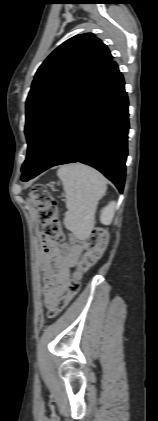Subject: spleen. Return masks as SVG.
<instances>
[{
	"label": "spleen",
	"mask_w": 158,
	"mask_h": 421,
	"mask_svg": "<svg viewBox=\"0 0 158 421\" xmlns=\"http://www.w3.org/2000/svg\"><path fill=\"white\" fill-rule=\"evenodd\" d=\"M57 175L66 194L64 225L77 238H87L94 225L98 201L107 189L106 179L94 168L80 163L60 167Z\"/></svg>",
	"instance_id": "3e777b00"
}]
</instances>
